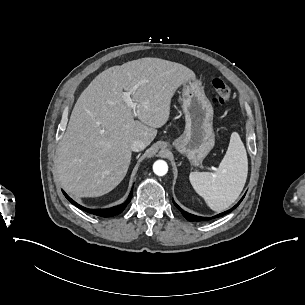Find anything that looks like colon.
<instances>
[{
	"label": "colon",
	"mask_w": 305,
	"mask_h": 305,
	"mask_svg": "<svg viewBox=\"0 0 305 305\" xmlns=\"http://www.w3.org/2000/svg\"><path fill=\"white\" fill-rule=\"evenodd\" d=\"M212 87L215 95L212 97V102L216 106H223L231 100V91L229 86L221 78L215 77L212 79Z\"/></svg>",
	"instance_id": "colon-1"
}]
</instances>
